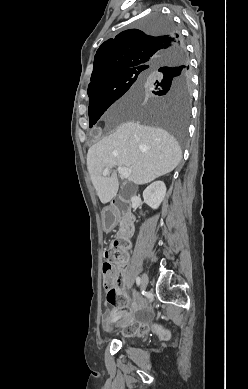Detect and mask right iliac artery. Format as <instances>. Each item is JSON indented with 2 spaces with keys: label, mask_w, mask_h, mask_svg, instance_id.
I'll list each match as a JSON object with an SVG mask.
<instances>
[{
  "label": "right iliac artery",
  "mask_w": 248,
  "mask_h": 389,
  "mask_svg": "<svg viewBox=\"0 0 248 389\" xmlns=\"http://www.w3.org/2000/svg\"><path fill=\"white\" fill-rule=\"evenodd\" d=\"M136 283H137L138 286L140 285V283H141L140 277H137V278H136ZM121 316H122V314H121V315H118L117 317L114 318L113 321H117Z\"/></svg>",
  "instance_id": "right-iliac-artery-1"
}]
</instances>
